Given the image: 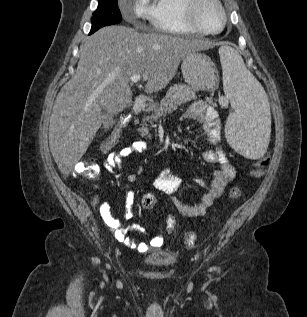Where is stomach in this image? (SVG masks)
<instances>
[{
  "mask_svg": "<svg viewBox=\"0 0 307 317\" xmlns=\"http://www.w3.org/2000/svg\"><path fill=\"white\" fill-rule=\"evenodd\" d=\"M181 71L185 82L196 89L214 90L216 87V69L205 54L197 51L186 54L182 59Z\"/></svg>",
  "mask_w": 307,
  "mask_h": 317,
  "instance_id": "1",
  "label": "stomach"
}]
</instances>
